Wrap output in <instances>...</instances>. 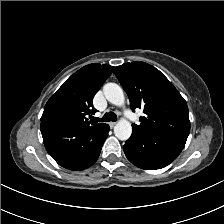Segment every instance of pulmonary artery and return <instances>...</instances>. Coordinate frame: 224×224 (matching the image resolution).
<instances>
[{"label": "pulmonary artery", "mask_w": 224, "mask_h": 224, "mask_svg": "<svg viewBox=\"0 0 224 224\" xmlns=\"http://www.w3.org/2000/svg\"><path fill=\"white\" fill-rule=\"evenodd\" d=\"M125 114L129 118V120H131V121L134 120V116L129 110H125Z\"/></svg>", "instance_id": "obj_1"}]
</instances>
